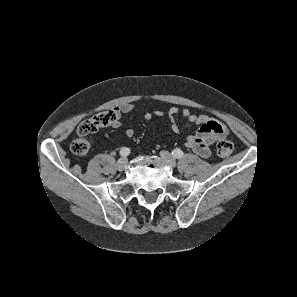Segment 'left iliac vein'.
Masks as SVG:
<instances>
[{
    "mask_svg": "<svg viewBox=\"0 0 297 297\" xmlns=\"http://www.w3.org/2000/svg\"><path fill=\"white\" fill-rule=\"evenodd\" d=\"M160 156L166 161L168 162V164L171 167H175L176 166V160L175 158L171 155V153L167 152V151H161L160 152Z\"/></svg>",
    "mask_w": 297,
    "mask_h": 297,
    "instance_id": "obj_1",
    "label": "left iliac vein"
}]
</instances>
